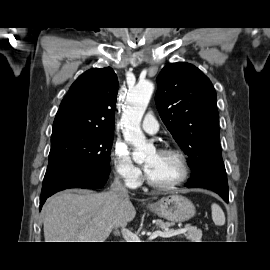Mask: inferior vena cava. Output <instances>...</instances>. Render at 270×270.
Masks as SVG:
<instances>
[{"label": "inferior vena cava", "mask_w": 270, "mask_h": 270, "mask_svg": "<svg viewBox=\"0 0 270 270\" xmlns=\"http://www.w3.org/2000/svg\"><path fill=\"white\" fill-rule=\"evenodd\" d=\"M111 191L120 196H128L127 188L120 182L119 178L116 177L111 185Z\"/></svg>", "instance_id": "inferior-vena-cava-1"}]
</instances>
